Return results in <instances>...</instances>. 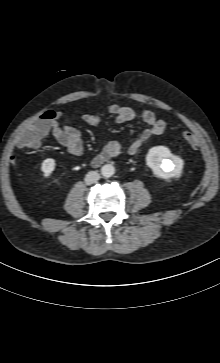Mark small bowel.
Returning a JSON list of instances; mask_svg holds the SVG:
<instances>
[{"instance_id": "obj_1", "label": "small bowel", "mask_w": 220, "mask_h": 363, "mask_svg": "<svg viewBox=\"0 0 220 363\" xmlns=\"http://www.w3.org/2000/svg\"><path fill=\"white\" fill-rule=\"evenodd\" d=\"M107 113L115 116L116 121L119 123L128 122L139 117L147 124V128L142 131L139 138L128 146L127 151L131 155L137 154L147 141L154 136L161 135L166 129V122L157 118L156 114L147 108L137 110L130 106L114 104L108 107ZM56 115V119L53 121L50 128L52 135L68 153L73 156H81L84 151V146L79 129L68 124L60 125L57 119L60 117L61 113L58 112ZM82 118L84 122L95 127H98L102 120L101 115L93 113L84 114ZM38 145H27L25 134L18 142L20 148H36ZM122 151L123 146L121 143L105 139L102 151L93 159L92 163L96 166L100 165L109 159L119 156Z\"/></svg>"}]
</instances>
